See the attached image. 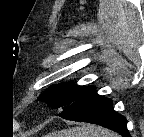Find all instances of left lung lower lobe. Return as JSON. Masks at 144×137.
<instances>
[{
  "mask_svg": "<svg viewBox=\"0 0 144 137\" xmlns=\"http://www.w3.org/2000/svg\"><path fill=\"white\" fill-rule=\"evenodd\" d=\"M58 116L67 120L98 124L123 137H131L127 130L125 117L115 112L112 101L98 95L95 88L85 90Z\"/></svg>",
  "mask_w": 144,
  "mask_h": 137,
  "instance_id": "left-lung-lower-lobe-1",
  "label": "left lung lower lobe"
}]
</instances>
